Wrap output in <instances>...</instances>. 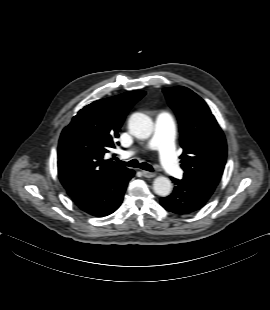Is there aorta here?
Wrapping results in <instances>:
<instances>
[{
	"mask_svg": "<svg viewBox=\"0 0 270 310\" xmlns=\"http://www.w3.org/2000/svg\"><path fill=\"white\" fill-rule=\"evenodd\" d=\"M128 126L130 131L141 139L149 138L153 132L151 118L140 112H136L130 116ZM153 190L157 195L166 197L172 191L171 181L167 177L158 176L153 181Z\"/></svg>",
	"mask_w": 270,
	"mask_h": 310,
	"instance_id": "762f6f07",
	"label": "aorta"
}]
</instances>
